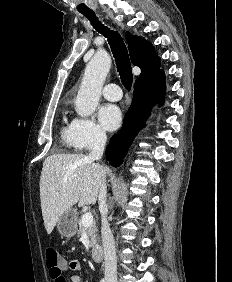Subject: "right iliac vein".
<instances>
[{
  "mask_svg": "<svg viewBox=\"0 0 232 282\" xmlns=\"http://www.w3.org/2000/svg\"><path fill=\"white\" fill-rule=\"evenodd\" d=\"M108 282H116V281H111V280H109Z\"/></svg>",
  "mask_w": 232,
  "mask_h": 282,
  "instance_id": "63e3f726",
  "label": "right iliac vein"
}]
</instances>
